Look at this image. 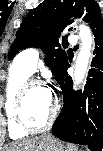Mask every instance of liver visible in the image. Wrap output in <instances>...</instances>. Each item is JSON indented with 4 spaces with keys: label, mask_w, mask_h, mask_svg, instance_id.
<instances>
[{
    "label": "liver",
    "mask_w": 103,
    "mask_h": 151,
    "mask_svg": "<svg viewBox=\"0 0 103 151\" xmlns=\"http://www.w3.org/2000/svg\"><path fill=\"white\" fill-rule=\"evenodd\" d=\"M39 137L30 138L28 140H23L12 144L6 151H29L35 144Z\"/></svg>",
    "instance_id": "obj_1"
}]
</instances>
